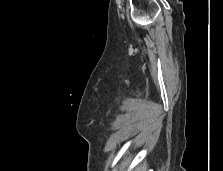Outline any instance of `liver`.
<instances>
[{"instance_id": "1", "label": "liver", "mask_w": 223, "mask_h": 171, "mask_svg": "<svg viewBox=\"0 0 223 171\" xmlns=\"http://www.w3.org/2000/svg\"><path fill=\"white\" fill-rule=\"evenodd\" d=\"M145 169H146V166H141V167L136 168L135 171H146Z\"/></svg>"}]
</instances>
